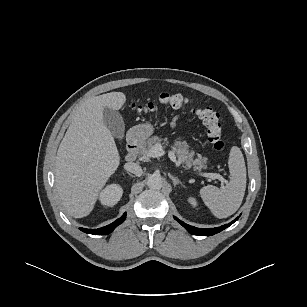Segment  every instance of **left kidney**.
I'll use <instances>...</instances> for the list:
<instances>
[{"label":"left kidney","instance_id":"1","mask_svg":"<svg viewBox=\"0 0 307 307\" xmlns=\"http://www.w3.org/2000/svg\"><path fill=\"white\" fill-rule=\"evenodd\" d=\"M188 202L191 204V206L193 207H197L198 206V202L194 197H189L188 198Z\"/></svg>","mask_w":307,"mask_h":307}]
</instances>
